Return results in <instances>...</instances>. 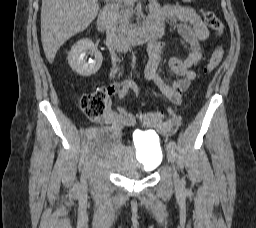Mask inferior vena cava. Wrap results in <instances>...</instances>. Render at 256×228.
I'll return each instance as SVG.
<instances>
[{"mask_svg": "<svg viewBox=\"0 0 256 228\" xmlns=\"http://www.w3.org/2000/svg\"><path fill=\"white\" fill-rule=\"evenodd\" d=\"M118 5L108 4L103 11V19L108 38H114L117 27Z\"/></svg>", "mask_w": 256, "mask_h": 228, "instance_id": "602c4592", "label": "inferior vena cava"}]
</instances>
